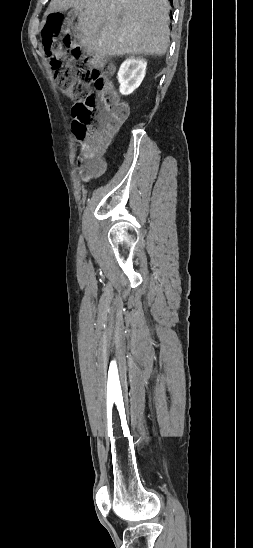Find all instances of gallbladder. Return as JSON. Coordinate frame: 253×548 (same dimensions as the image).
<instances>
[{"mask_svg":"<svg viewBox=\"0 0 253 548\" xmlns=\"http://www.w3.org/2000/svg\"><path fill=\"white\" fill-rule=\"evenodd\" d=\"M77 16V13L75 11L74 8H72L69 12H68V17L70 18H75Z\"/></svg>","mask_w":253,"mask_h":548,"instance_id":"gallbladder-1","label":"gallbladder"}]
</instances>
